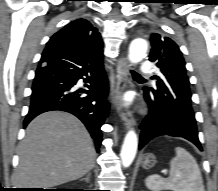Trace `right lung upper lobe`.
Masks as SVG:
<instances>
[{
    "label": "right lung upper lobe",
    "mask_w": 218,
    "mask_h": 191,
    "mask_svg": "<svg viewBox=\"0 0 218 191\" xmlns=\"http://www.w3.org/2000/svg\"><path fill=\"white\" fill-rule=\"evenodd\" d=\"M46 47H57L80 55L102 52L103 42L97 29L86 19H77L55 33Z\"/></svg>",
    "instance_id": "cb5924a9"
}]
</instances>
